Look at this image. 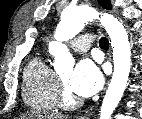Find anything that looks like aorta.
Instances as JSON below:
<instances>
[{
    "label": "aorta",
    "instance_id": "762f6f07",
    "mask_svg": "<svg viewBox=\"0 0 142 119\" xmlns=\"http://www.w3.org/2000/svg\"><path fill=\"white\" fill-rule=\"evenodd\" d=\"M99 19L108 33L114 59V72L111 82L102 102L100 119H111L115 108L120 102L126 88L131 64V49L126 29L122 23L111 14H99L85 6H68L61 14L54 38L49 43V53L54 56V67L58 73L70 72L74 59L66 45L62 42L75 37L85 27V24Z\"/></svg>",
    "mask_w": 142,
    "mask_h": 119
}]
</instances>
